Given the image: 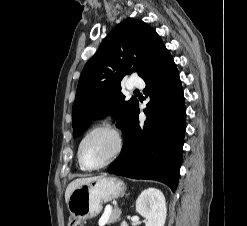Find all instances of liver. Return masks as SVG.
Segmentation results:
<instances>
[{
    "instance_id": "obj_1",
    "label": "liver",
    "mask_w": 247,
    "mask_h": 226,
    "mask_svg": "<svg viewBox=\"0 0 247 226\" xmlns=\"http://www.w3.org/2000/svg\"><path fill=\"white\" fill-rule=\"evenodd\" d=\"M97 177H88V178H79V179H75L73 180L67 187L66 192H65V201L66 203H68L69 197L72 193V191L74 189H76L78 186L90 182L94 179H96Z\"/></svg>"
}]
</instances>
